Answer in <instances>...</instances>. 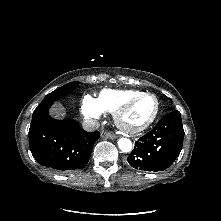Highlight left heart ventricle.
I'll list each match as a JSON object with an SVG mask.
<instances>
[{"instance_id": "obj_1", "label": "left heart ventricle", "mask_w": 221, "mask_h": 221, "mask_svg": "<svg viewBox=\"0 0 221 221\" xmlns=\"http://www.w3.org/2000/svg\"><path fill=\"white\" fill-rule=\"evenodd\" d=\"M156 102L153 97H144L136 101L124 114V123L130 127H138L146 123L153 115Z\"/></svg>"}]
</instances>
